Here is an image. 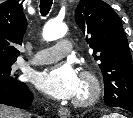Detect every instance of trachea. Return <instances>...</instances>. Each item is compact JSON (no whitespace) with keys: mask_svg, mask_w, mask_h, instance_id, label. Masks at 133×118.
<instances>
[{"mask_svg":"<svg viewBox=\"0 0 133 118\" xmlns=\"http://www.w3.org/2000/svg\"><path fill=\"white\" fill-rule=\"evenodd\" d=\"M52 6V0H41L40 1V12L42 16H46Z\"/></svg>","mask_w":133,"mask_h":118,"instance_id":"obj_1","label":"trachea"}]
</instances>
